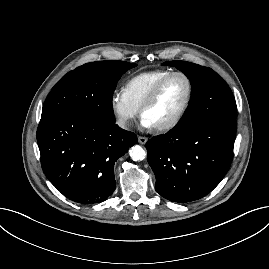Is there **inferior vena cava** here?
Masks as SVG:
<instances>
[{
  "label": "inferior vena cava",
  "mask_w": 269,
  "mask_h": 269,
  "mask_svg": "<svg viewBox=\"0 0 269 269\" xmlns=\"http://www.w3.org/2000/svg\"><path fill=\"white\" fill-rule=\"evenodd\" d=\"M117 123H118V125H119L121 128H127L128 123H127L126 120H124V119H119Z\"/></svg>",
  "instance_id": "inferior-vena-cava-1"
}]
</instances>
